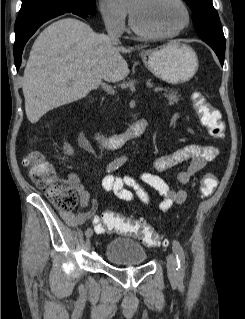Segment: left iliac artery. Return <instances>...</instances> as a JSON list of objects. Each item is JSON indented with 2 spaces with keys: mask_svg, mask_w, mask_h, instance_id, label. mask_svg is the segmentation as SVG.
<instances>
[{
  "mask_svg": "<svg viewBox=\"0 0 245 319\" xmlns=\"http://www.w3.org/2000/svg\"><path fill=\"white\" fill-rule=\"evenodd\" d=\"M173 249L177 259V276L182 279L185 275V254L182 246L176 240L173 241Z\"/></svg>",
  "mask_w": 245,
  "mask_h": 319,
  "instance_id": "44dca946",
  "label": "left iliac artery"
}]
</instances>
